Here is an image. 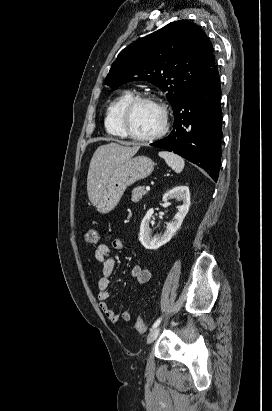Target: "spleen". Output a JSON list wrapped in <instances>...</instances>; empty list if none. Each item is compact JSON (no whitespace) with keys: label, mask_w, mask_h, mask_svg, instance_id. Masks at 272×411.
<instances>
[{"label":"spleen","mask_w":272,"mask_h":411,"mask_svg":"<svg viewBox=\"0 0 272 411\" xmlns=\"http://www.w3.org/2000/svg\"><path fill=\"white\" fill-rule=\"evenodd\" d=\"M158 155L165 160L168 166H170L176 173H180L184 166L185 161L182 157L168 151H160Z\"/></svg>","instance_id":"3e777b00"}]
</instances>
